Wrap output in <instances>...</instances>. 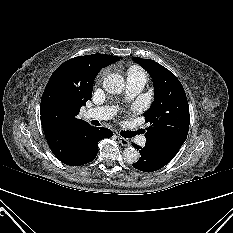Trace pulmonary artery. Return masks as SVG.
I'll use <instances>...</instances> for the list:
<instances>
[{
    "instance_id": "obj_1",
    "label": "pulmonary artery",
    "mask_w": 233,
    "mask_h": 233,
    "mask_svg": "<svg viewBox=\"0 0 233 233\" xmlns=\"http://www.w3.org/2000/svg\"><path fill=\"white\" fill-rule=\"evenodd\" d=\"M126 83L127 97L132 98L142 91L146 84V77L133 75L128 76ZM114 113L115 109L113 107L105 106L88 109L84 115L88 119L106 120L111 118ZM138 142L141 144L145 143V138L142 136L138 137Z\"/></svg>"
}]
</instances>
